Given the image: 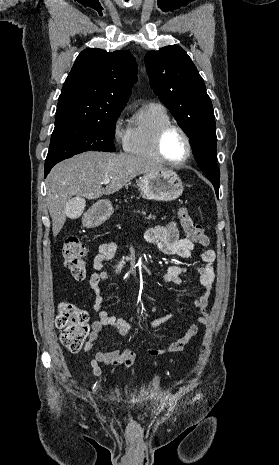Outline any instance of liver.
I'll use <instances>...</instances> for the list:
<instances>
[{
	"instance_id": "6515ba94",
	"label": "liver",
	"mask_w": 279,
	"mask_h": 465,
	"mask_svg": "<svg viewBox=\"0 0 279 465\" xmlns=\"http://www.w3.org/2000/svg\"><path fill=\"white\" fill-rule=\"evenodd\" d=\"M157 171L159 168L147 159L125 153L88 151L58 163L46 178L53 236L59 234L66 221L70 199L83 198L85 207L84 198L111 195L136 176ZM106 179L110 182L103 188Z\"/></svg>"
}]
</instances>
